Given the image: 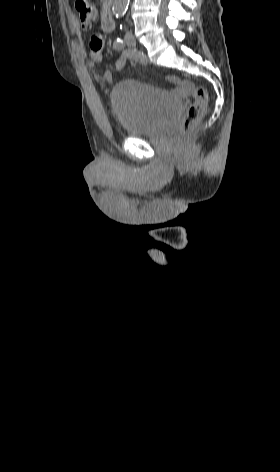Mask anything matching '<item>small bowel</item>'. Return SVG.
<instances>
[{
	"label": "small bowel",
	"instance_id": "obj_1",
	"mask_svg": "<svg viewBox=\"0 0 280 472\" xmlns=\"http://www.w3.org/2000/svg\"><path fill=\"white\" fill-rule=\"evenodd\" d=\"M102 38L100 35H93L90 40V57L88 60V67L91 70L92 76L94 80L99 83L102 87L106 88L113 80V74L112 71L107 70L103 74H97L93 67L96 64H100L103 61V54H102ZM129 62L132 68L135 70L136 65L132 62V60L124 56L123 54L118 58V60L115 63V70L120 71L124 68L126 63ZM167 81L176 85L178 87V90L181 92H185L189 90L190 86L181 81L179 78L175 76H167L166 77Z\"/></svg>",
	"mask_w": 280,
	"mask_h": 472
}]
</instances>
